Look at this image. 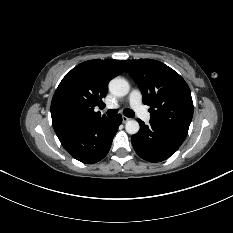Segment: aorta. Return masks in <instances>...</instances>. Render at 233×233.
Returning a JSON list of instances; mask_svg holds the SVG:
<instances>
[{"mask_svg": "<svg viewBox=\"0 0 233 233\" xmlns=\"http://www.w3.org/2000/svg\"><path fill=\"white\" fill-rule=\"evenodd\" d=\"M130 89L129 83L120 77H116L109 82V91L118 97H123L128 94ZM140 126L136 120L126 122L125 130L128 134H136L139 132Z\"/></svg>", "mask_w": 233, "mask_h": 233, "instance_id": "aorta-1", "label": "aorta"}]
</instances>
